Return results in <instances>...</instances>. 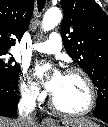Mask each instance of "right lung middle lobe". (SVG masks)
<instances>
[{
  "mask_svg": "<svg viewBox=\"0 0 108 127\" xmlns=\"http://www.w3.org/2000/svg\"><path fill=\"white\" fill-rule=\"evenodd\" d=\"M6 54L7 51H0V77L7 80H16L18 79L20 66L13 63L15 61L13 57H10V59L4 58Z\"/></svg>",
  "mask_w": 108,
  "mask_h": 127,
  "instance_id": "1",
  "label": "right lung middle lobe"
}]
</instances>
